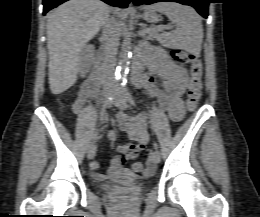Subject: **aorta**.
<instances>
[{
    "instance_id": "1",
    "label": "aorta",
    "mask_w": 260,
    "mask_h": 217,
    "mask_svg": "<svg viewBox=\"0 0 260 217\" xmlns=\"http://www.w3.org/2000/svg\"><path fill=\"white\" fill-rule=\"evenodd\" d=\"M132 56L131 53V41H130V35L127 34L123 40L122 43V49L120 53V60H119V66L117 67V71L119 73L120 78H124L121 76H124V74L128 71V66H129V60Z\"/></svg>"
}]
</instances>
